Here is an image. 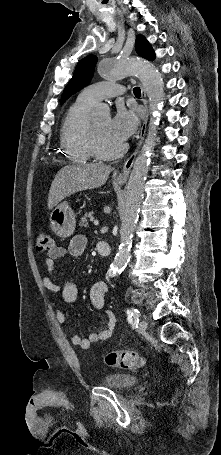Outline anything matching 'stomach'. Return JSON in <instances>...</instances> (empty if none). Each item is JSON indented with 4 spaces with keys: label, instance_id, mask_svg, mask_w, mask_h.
I'll list each match as a JSON object with an SVG mask.
<instances>
[{
    "label": "stomach",
    "instance_id": "1",
    "mask_svg": "<svg viewBox=\"0 0 221 455\" xmlns=\"http://www.w3.org/2000/svg\"><path fill=\"white\" fill-rule=\"evenodd\" d=\"M75 223V214L67 202L57 204L50 213L51 230L61 238L74 233Z\"/></svg>",
    "mask_w": 221,
    "mask_h": 455
}]
</instances>
